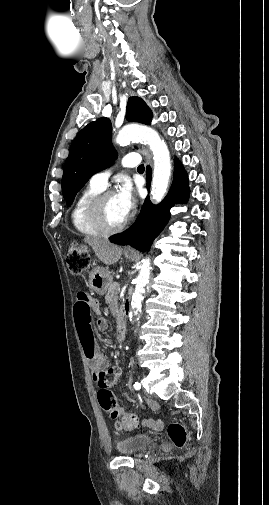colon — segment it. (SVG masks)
<instances>
[{
  "mask_svg": "<svg viewBox=\"0 0 269 505\" xmlns=\"http://www.w3.org/2000/svg\"><path fill=\"white\" fill-rule=\"evenodd\" d=\"M67 265L73 274H81L86 271L90 265L88 250L78 243H72L69 246L67 254ZM118 379L119 371L115 367L103 370L99 373L97 377V384L99 386L98 400L103 410L109 412L113 418H117L115 423L116 429L129 432L137 426L138 418L134 414L124 413L117 408L116 400L111 389L117 384ZM167 432L169 438L176 447H183L186 444L187 431L183 424L172 422L168 425Z\"/></svg>",
  "mask_w": 269,
  "mask_h": 505,
  "instance_id": "colon-1",
  "label": "colon"
}]
</instances>
